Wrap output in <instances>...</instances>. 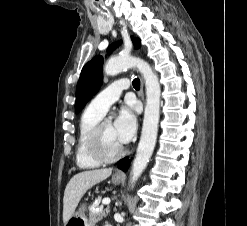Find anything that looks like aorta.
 Listing matches in <instances>:
<instances>
[{
	"label": "aorta",
	"instance_id": "1",
	"mask_svg": "<svg viewBox=\"0 0 247 226\" xmlns=\"http://www.w3.org/2000/svg\"><path fill=\"white\" fill-rule=\"evenodd\" d=\"M129 68H137L140 71L146 87V106L142 133L130 179V186L133 188L135 182L146 168L155 147L160 115L161 89L157 75L152 71L150 65L140 58L131 56L112 58L106 63L104 72L108 76H114Z\"/></svg>",
	"mask_w": 247,
	"mask_h": 226
}]
</instances>
